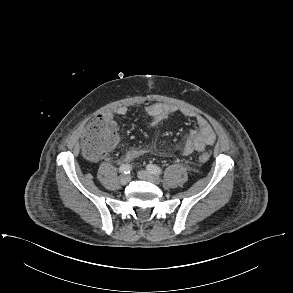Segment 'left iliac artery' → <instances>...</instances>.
<instances>
[{
	"label": "left iliac artery",
	"mask_w": 293,
	"mask_h": 293,
	"mask_svg": "<svg viewBox=\"0 0 293 293\" xmlns=\"http://www.w3.org/2000/svg\"><path fill=\"white\" fill-rule=\"evenodd\" d=\"M146 169H147L150 173H152V174H154V175H156V176H159V175L162 174V169H161L160 167H158L157 165H154V164H149V165H147Z\"/></svg>",
	"instance_id": "1"
}]
</instances>
